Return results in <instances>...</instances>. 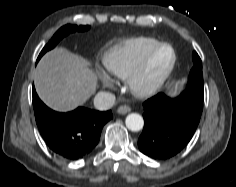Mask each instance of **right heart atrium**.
<instances>
[{"label":"right heart atrium","mask_w":236,"mask_h":187,"mask_svg":"<svg viewBox=\"0 0 236 187\" xmlns=\"http://www.w3.org/2000/svg\"><path fill=\"white\" fill-rule=\"evenodd\" d=\"M97 76L103 82L104 86H106L108 88L113 87L114 81L112 80V78L109 75H107L103 72H98Z\"/></svg>","instance_id":"right-heart-atrium-1"}]
</instances>
